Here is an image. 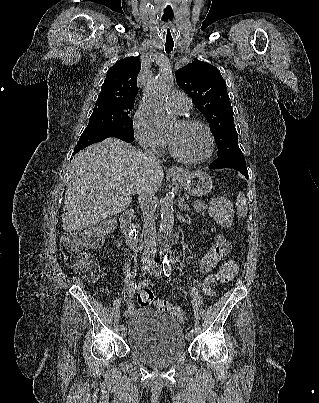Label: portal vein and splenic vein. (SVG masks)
<instances>
[{
    "mask_svg": "<svg viewBox=\"0 0 319 403\" xmlns=\"http://www.w3.org/2000/svg\"><path fill=\"white\" fill-rule=\"evenodd\" d=\"M199 203V201H194L193 205H197Z\"/></svg>",
    "mask_w": 319,
    "mask_h": 403,
    "instance_id": "obj_1",
    "label": "portal vein and splenic vein"
}]
</instances>
